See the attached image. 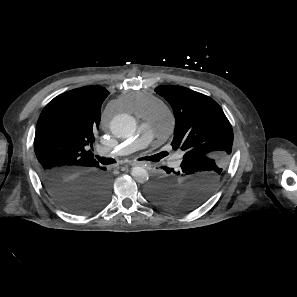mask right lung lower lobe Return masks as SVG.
Segmentation results:
<instances>
[{
  "mask_svg": "<svg viewBox=\"0 0 297 297\" xmlns=\"http://www.w3.org/2000/svg\"><path fill=\"white\" fill-rule=\"evenodd\" d=\"M105 167H96L80 174L62 171H41L48 194L62 208L72 213H89L102 207L109 195L110 178Z\"/></svg>",
  "mask_w": 297,
  "mask_h": 297,
  "instance_id": "1",
  "label": "right lung lower lobe"
}]
</instances>
